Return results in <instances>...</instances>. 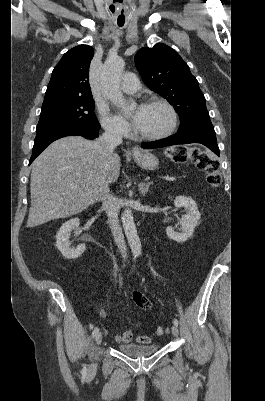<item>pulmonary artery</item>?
<instances>
[{
    "mask_svg": "<svg viewBox=\"0 0 265 401\" xmlns=\"http://www.w3.org/2000/svg\"><path fill=\"white\" fill-rule=\"evenodd\" d=\"M119 87L125 95H136L139 88L138 76L133 72L128 73L124 77V81L120 82Z\"/></svg>",
    "mask_w": 265,
    "mask_h": 401,
    "instance_id": "obj_1",
    "label": "pulmonary artery"
}]
</instances>
